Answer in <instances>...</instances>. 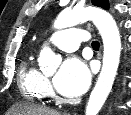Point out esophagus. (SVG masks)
Returning a JSON list of instances; mask_svg holds the SVG:
<instances>
[{"label":"esophagus","mask_w":131,"mask_h":115,"mask_svg":"<svg viewBox=\"0 0 131 115\" xmlns=\"http://www.w3.org/2000/svg\"><path fill=\"white\" fill-rule=\"evenodd\" d=\"M98 57L100 58L101 57V54L99 53Z\"/></svg>","instance_id":"34e87169"}]
</instances>
